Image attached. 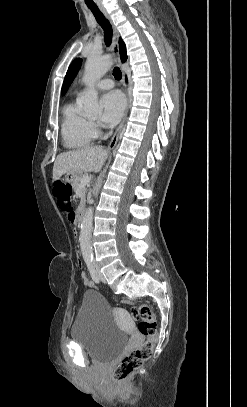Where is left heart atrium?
Instances as JSON below:
<instances>
[{
	"mask_svg": "<svg viewBox=\"0 0 247 407\" xmlns=\"http://www.w3.org/2000/svg\"><path fill=\"white\" fill-rule=\"evenodd\" d=\"M102 121L106 124H115L119 121L125 107V99L119 91L106 93L101 99Z\"/></svg>",
	"mask_w": 247,
	"mask_h": 407,
	"instance_id": "obj_1",
	"label": "left heart atrium"
}]
</instances>
